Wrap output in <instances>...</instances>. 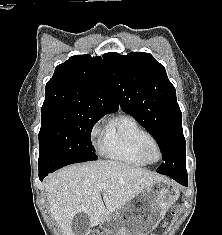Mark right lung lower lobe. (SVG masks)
I'll return each instance as SVG.
<instances>
[{
    "label": "right lung lower lobe",
    "instance_id": "right-lung-lower-lobe-1",
    "mask_svg": "<svg viewBox=\"0 0 222 235\" xmlns=\"http://www.w3.org/2000/svg\"><path fill=\"white\" fill-rule=\"evenodd\" d=\"M54 172L53 170L39 172V179L42 181L44 177H46L49 173Z\"/></svg>",
    "mask_w": 222,
    "mask_h": 235
}]
</instances>
